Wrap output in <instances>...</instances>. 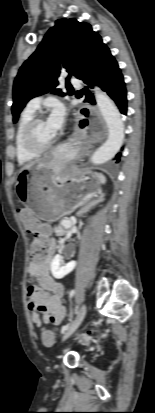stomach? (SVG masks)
Wrapping results in <instances>:
<instances>
[{"mask_svg":"<svg viewBox=\"0 0 155 413\" xmlns=\"http://www.w3.org/2000/svg\"><path fill=\"white\" fill-rule=\"evenodd\" d=\"M15 187L20 202L48 222L71 214L101 193L97 174L65 169L53 156L21 168Z\"/></svg>","mask_w":155,"mask_h":413,"instance_id":"0dacf381","label":"stomach"}]
</instances>
